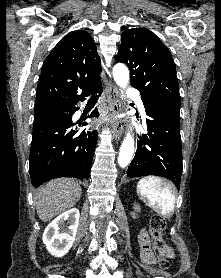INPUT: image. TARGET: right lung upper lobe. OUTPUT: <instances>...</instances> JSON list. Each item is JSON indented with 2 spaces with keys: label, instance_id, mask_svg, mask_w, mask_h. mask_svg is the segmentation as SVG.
I'll use <instances>...</instances> for the list:
<instances>
[{
  "label": "right lung upper lobe",
  "instance_id": "obj_1",
  "mask_svg": "<svg viewBox=\"0 0 221 278\" xmlns=\"http://www.w3.org/2000/svg\"><path fill=\"white\" fill-rule=\"evenodd\" d=\"M100 73L93 38L86 31L70 32L43 64L35 105L83 94L101 84Z\"/></svg>",
  "mask_w": 221,
  "mask_h": 278
}]
</instances>
